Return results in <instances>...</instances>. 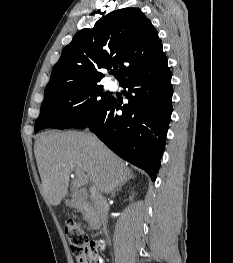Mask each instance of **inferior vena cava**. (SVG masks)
I'll return each instance as SVG.
<instances>
[{"mask_svg":"<svg viewBox=\"0 0 233 263\" xmlns=\"http://www.w3.org/2000/svg\"><path fill=\"white\" fill-rule=\"evenodd\" d=\"M91 196L100 222L103 225L104 231H106L108 223L107 201L95 187L92 188Z\"/></svg>","mask_w":233,"mask_h":263,"instance_id":"1","label":"inferior vena cava"}]
</instances>
